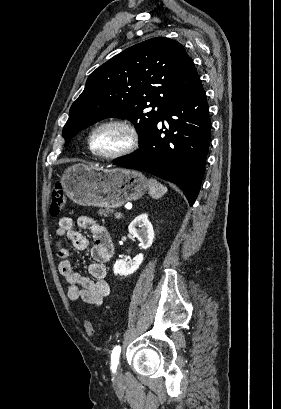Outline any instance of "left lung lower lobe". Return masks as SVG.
Segmentation results:
<instances>
[{"mask_svg":"<svg viewBox=\"0 0 281 409\" xmlns=\"http://www.w3.org/2000/svg\"><path fill=\"white\" fill-rule=\"evenodd\" d=\"M163 120L169 124V131L160 129ZM162 128L166 129L164 124ZM210 138L209 108L197 74L142 140V147L132 155L115 160L114 164L143 170L181 186L191 206L201 187Z\"/></svg>","mask_w":281,"mask_h":409,"instance_id":"obj_1","label":"left lung lower lobe"}]
</instances>
